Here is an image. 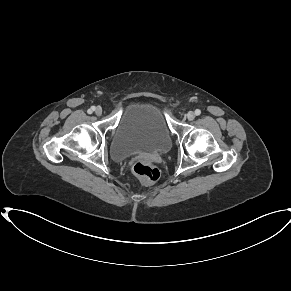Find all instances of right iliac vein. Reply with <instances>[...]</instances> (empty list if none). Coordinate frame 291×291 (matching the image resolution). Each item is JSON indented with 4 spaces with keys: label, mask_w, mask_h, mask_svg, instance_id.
<instances>
[{
    "label": "right iliac vein",
    "mask_w": 291,
    "mask_h": 291,
    "mask_svg": "<svg viewBox=\"0 0 291 291\" xmlns=\"http://www.w3.org/2000/svg\"><path fill=\"white\" fill-rule=\"evenodd\" d=\"M95 114L97 115V116H100L101 114H102V108L101 107H96V109H95Z\"/></svg>",
    "instance_id": "63e3f726"
}]
</instances>
